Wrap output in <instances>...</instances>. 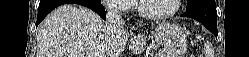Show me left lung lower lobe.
Listing matches in <instances>:
<instances>
[{"mask_svg":"<svg viewBox=\"0 0 249 57\" xmlns=\"http://www.w3.org/2000/svg\"><path fill=\"white\" fill-rule=\"evenodd\" d=\"M182 17L193 18L201 22L217 37V11L215 0H203L191 7H187Z\"/></svg>","mask_w":249,"mask_h":57,"instance_id":"obj_1","label":"left lung lower lobe"}]
</instances>
